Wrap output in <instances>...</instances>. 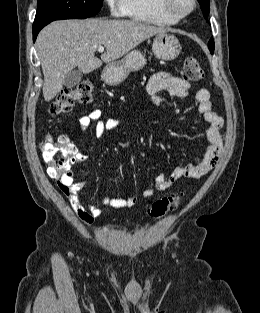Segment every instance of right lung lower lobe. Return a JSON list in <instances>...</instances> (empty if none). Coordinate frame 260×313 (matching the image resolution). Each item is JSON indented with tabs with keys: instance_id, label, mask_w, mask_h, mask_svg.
<instances>
[{
	"instance_id": "obj_1",
	"label": "right lung lower lobe",
	"mask_w": 260,
	"mask_h": 313,
	"mask_svg": "<svg viewBox=\"0 0 260 313\" xmlns=\"http://www.w3.org/2000/svg\"><path fill=\"white\" fill-rule=\"evenodd\" d=\"M50 21H34L33 24V40L35 41L39 31L46 26L47 24H49Z\"/></svg>"
}]
</instances>
